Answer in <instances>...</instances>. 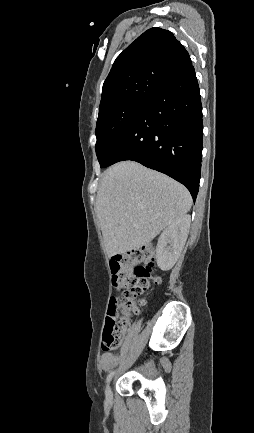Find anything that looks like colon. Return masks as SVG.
<instances>
[{
    "instance_id": "1",
    "label": "colon",
    "mask_w": 254,
    "mask_h": 433,
    "mask_svg": "<svg viewBox=\"0 0 254 433\" xmlns=\"http://www.w3.org/2000/svg\"><path fill=\"white\" fill-rule=\"evenodd\" d=\"M155 251L143 247L116 255L111 262L113 286L121 296L110 299L102 348H118L129 327V316L143 304L142 295L161 282L153 271Z\"/></svg>"
}]
</instances>
